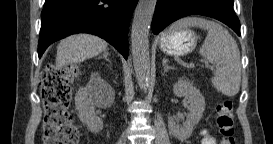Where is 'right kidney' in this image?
Instances as JSON below:
<instances>
[{
	"label": "right kidney",
	"mask_w": 273,
	"mask_h": 144,
	"mask_svg": "<svg viewBox=\"0 0 273 144\" xmlns=\"http://www.w3.org/2000/svg\"><path fill=\"white\" fill-rule=\"evenodd\" d=\"M93 84H99L106 89L110 87L103 79H101L98 73H93L86 88L80 89L76 93L75 105L82 123L87 126V129L90 132L98 133L103 128V121L96 115L94 108L90 106L95 88Z\"/></svg>",
	"instance_id": "right-kidney-1"
}]
</instances>
